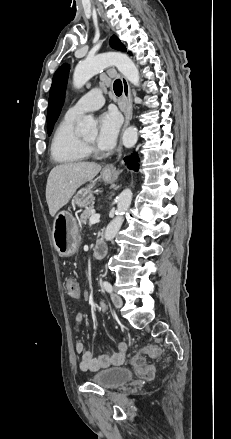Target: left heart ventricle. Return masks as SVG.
Listing matches in <instances>:
<instances>
[{
	"label": "left heart ventricle",
	"mask_w": 231,
	"mask_h": 439,
	"mask_svg": "<svg viewBox=\"0 0 231 439\" xmlns=\"http://www.w3.org/2000/svg\"><path fill=\"white\" fill-rule=\"evenodd\" d=\"M86 141L92 143L94 141V136H88L84 138Z\"/></svg>",
	"instance_id": "obj_1"
}]
</instances>
